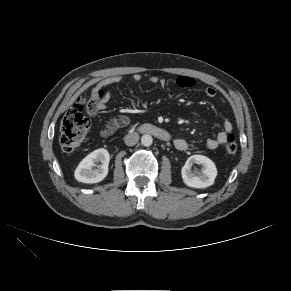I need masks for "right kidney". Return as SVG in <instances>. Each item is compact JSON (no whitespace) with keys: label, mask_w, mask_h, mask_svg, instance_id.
I'll return each instance as SVG.
<instances>
[{"label":"right kidney","mask_w":291,"mask_h":291,"mask_svg":"<svg viewBox=\"0 0 291 291\" xmlns=\"http://www.w3.org/2000/svg\"><path fill=\"white\" fill-rule=\"evenodd\" d=\"M110 155L104 148L97 149L87 155L78 165L74 176L83 183H97L102 181L108 173ZM101 163L97 165L96 163ZM97 166V168H95Z\"/></svg>","instance_id":"obj_1"}]
</instances>
